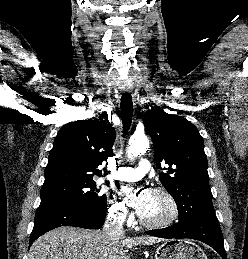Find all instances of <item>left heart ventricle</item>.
I'll return each mask as SVG.
<instances>
[{"label": "left heart ventricle", "mask_w": 248, "mask_h": 259, "mask_svg": "<svg viewBox=\"0 0 248 259\" xmlns=\"http://www.w3.org/2000/svg\"><path fill=\"white\" fill-rule=\"evenodd\" d=\"M168 202L160 195L152 193L151 200L142 218L147 221H159L169 214Z\"/></svg>", "instance_id": "b2bd125f"}]
</instances>
